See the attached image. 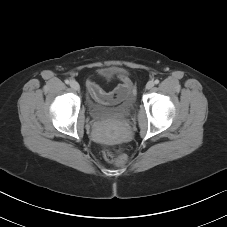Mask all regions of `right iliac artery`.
I'll use <instances>...</instances> for the list:
<instances>
[{
    "label": "right iliac artery",
    "instance_id": "82829eb1",
    "mask_svg": "<svg viewBox=\"0 0 227 227\" xmlns=\"http://www.w3.org/2000/svg\"><path fill=\"white\" fill-rule=\"evenodd\" d=\"M65 83H66V84H70V81H69V80H65Z\"/></svg>",
    "mask_w": 227,
    "mask_h": 227
}]
</instances>
